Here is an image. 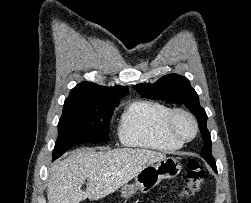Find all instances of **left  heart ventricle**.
I'll return each instance as SVG.
<instances>
[{"label":"left heart ventricle","mask_w":251,"mask_h":203,"mask_svg":"<svg viewBox=\"0 0 251 203\" xmlns=\"http://www.w3.org/2000/svg\"><path fill=\"white\" fill-rule=\"evenodd\" d=\"M175 128L177 132L183 137H190L193 134V124L192 122L184 115H179L175 121Z\"/></svg>","instance_id":"b2bd125f"}]
</instances>
